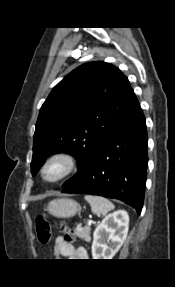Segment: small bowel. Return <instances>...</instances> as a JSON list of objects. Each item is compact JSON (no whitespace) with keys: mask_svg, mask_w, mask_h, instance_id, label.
Masks as SVG:
<instances>
[{"mask_svg":"<svg viewBox=\"0 0 175 287\" xmlns=\"http://www.w3.org/2000/svg\"><path fill=\"white\" fill-rule=\"evenodd\" d=\"M54 253L56 256L66 257L70 259H87L88 252L84 247H74L67 243L63 237L56 238L54 243Z\"/></svg>","mask_w":175,"mask_h":287,"instance_id":"1","label":"small bowel"}]
</instances>
